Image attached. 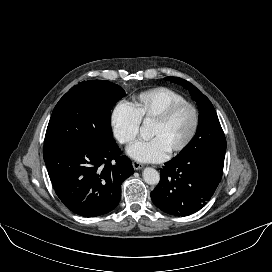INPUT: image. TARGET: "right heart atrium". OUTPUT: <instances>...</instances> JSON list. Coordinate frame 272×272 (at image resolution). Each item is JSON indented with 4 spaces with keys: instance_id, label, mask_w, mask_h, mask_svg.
I'll list each match as a JSON object with an SVG mask.
<instances>
[{
    "instance_id": "right-heart-atrium-1",
    "label": "right heart atrium",
    "mask_w": 272,
    "mask_h": 272,
    "mask_svg": "<svg viewBox=\"0 0 272 272\" xmlns=\"http://www.w3.org/2000/svg\"><path fill=\"white\" fill-rule=\"evenodd\" d=\"M110 124L114 136L120 144L131 143L138 135L140 120L132 106L120 102L112 110Z\"/></svg>"
}]
</instances>
